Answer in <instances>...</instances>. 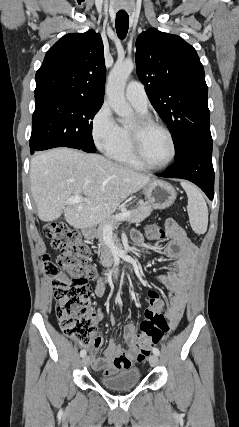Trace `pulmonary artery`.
<instances>
[{"label":"pulmonary artery","mask_w":239,"mask_h":427,"mask_svg":"<svg viewBox=\"0 0 239 427\" xmlns=\"http://www.w3.org/2000/svg\"><path fill=\"white\" fill-rule=\"evenodd\" d=\"M127 101L137 110L146 112L148 109V97L143 85L137 81L130 82L125 89Z\"/></svg>","instance_id":"pulmonary-artery-1"}]
</instances>
